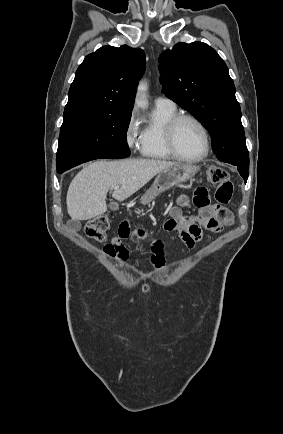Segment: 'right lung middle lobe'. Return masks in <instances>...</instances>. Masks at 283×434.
Returning a JSON list of instances; mask_svg holds the SVG:
<instances>
[{"label":"right lung middle lobe","instance_id":"1","mask_svg":"<svg viewBox=\"0 0 283 434\" xmlns=\"http://www.w3.org/2000/svg\"><path fill=\"white\" fill-rule=\"evenodd\" d=\"M130 119L131 113L64 118L57 150V172L63 173L94 159L128 157L126 132Z\"/></svg>","mask_w":283,"mask_h":434}]
</instances>
